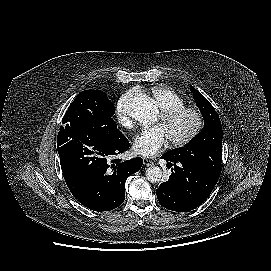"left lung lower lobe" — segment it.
I'll return each mask as SVG.
<instances>
[{
    "mask_svg": "<svg viewBox=\"0 0 271 271\" xmlns=\"http://www.w3.org/2000/svg\"><path fill=\"white\" fill-rule=\"evenodd\" d=\"M161 158L174 166L168 181L156 190L159 203L172 211L186 212L200 206L210 195L219 178L191 164L176 161L169 153Z\"/></svg>",
    "mask_w": 271,
    "mask_h": 271,
    "instance_id": "obj_1",
    "label": "left lung lower lobe"
}]
</instances>
